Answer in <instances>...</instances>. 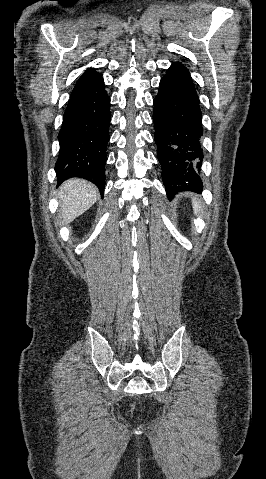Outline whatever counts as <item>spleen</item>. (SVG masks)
I'll list each match as a JSON object with an SVG mask.
<instances>
[{"instance_id": "obj_1", "label": "spleen", "mask_w": 266, "mask_h": 479, "mask_svg": "<svg viewBox=\"0 0 266 479\" xmlns=\"http://www.w3.org/2000/svg\"><path fill=\"white\" fill-rule=\"evenodd\" d=\"M192 207H193L194 214L196 216H199L201 212V206L199 201L196 198H193L192 200Z\"/></svg>"}]
</instances>
